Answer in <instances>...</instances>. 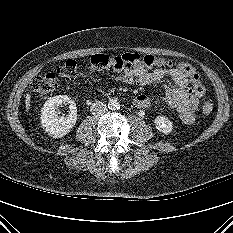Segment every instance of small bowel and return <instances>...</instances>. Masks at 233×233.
I'll list each match as a JSON object with an SVG mask.
<instances>
[{
  "instance_id": "c3829d8e",
  "label": "small bowel",
  "mask_w": 233,
  "mask_h": 233,
  "mask_svg": "<svg viewBox=\"0 0 233 233\" xmlns=\"http://www.w3.org/2000/svg\"><path fill=\"white\" fill-rule=\"evenodd\" d=\"M112 77L126 85L146 86L169 78L172 84L165 91V105L175 110L182 122L192 124L195 120L194 112L198 106L199 98L189 88V78L177 68H149L140 63L125 64L113 63L111 66ZM134 104L137 108L145 109L150 106L148 96L140 94L135 97Z\"/></svg>"
}]
</instances>
